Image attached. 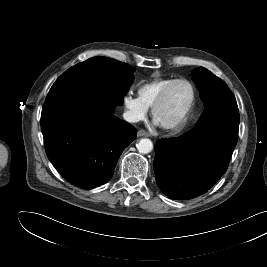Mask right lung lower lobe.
Instances as JSON below:
<instances>
[{"label": "right lung lower lobe", "instance_id": "1", "mask_svg": "<svg viewBox=\"0 0 267 267\" xmlns=\"http://www.w3.org/2000/svg\"><path fill=\"white\" fill-rule=\"evenodd\" d=\"M116 106L97 97L73 95L43 107L46 154L72 185L91 189L105 184L123 150L136 138V129L113 115Z\"/></svg>", "mask_w": 267, "mask_h": 267}]
</instances>
